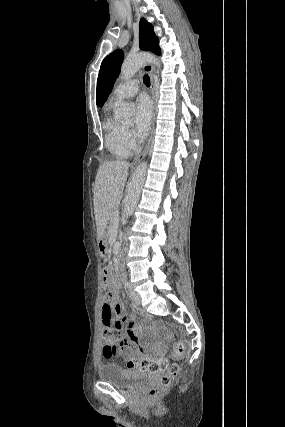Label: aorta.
Instances as JSON below:
<instances>
[{
  "label": "aorta",
  "mask_w": 285,
  "mask_h": 427,
  "mask_svg": "<svg viewBox=\"0 0 285 427\" xmlns=\"http://www.w3.org/2000/svg\"><path fill=\"white\" fill-rule=\"evenodd\" d=\"M146 62L152 63L160 68L159 61L151 54L136 53L128 55L121 66L120 78L125 80L132 78ZM132 112L133 106L129 103L123 102L120 105L118 116L121 119L127 120L132 115ZM146 174L147 163L142 162L140 165L137 166L132 176V180L128 186L126 203L124 208L125 219H128L134 212V209L140 198Z\"/></svg>",
  "instance_id": "1"
}]
</instances>
